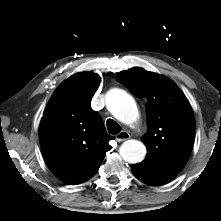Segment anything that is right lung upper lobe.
I'll list each match as a JSON object with an SVG mask.
<instances>
[{"mask_svg": "<svg viewBox=\"0 0 221 221\" xmlns=\"http://www.w3.org/2000/svg\"><path fill=\"white\" fill-rule=\"evenodd\" d=\"M101 79L91 72L64 81L44 111L39 139L50 170L63 182L76 185L90 179L111 149L101 116L90 103Z\"/></svg>", "mask_w": 221, "mask_h": 221, "instance_id": "right-lung-upper-lobe-1", "label": "right lung upper lobe"}]
</instances>
